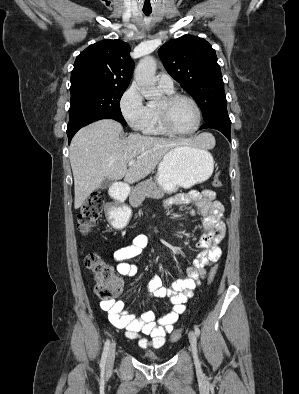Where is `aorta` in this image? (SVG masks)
<instances>
[{
  "mask_svg": "<svg viewBox=\"0 0 299 394\" xmlns=\"http://www.w3.org/2000/svg\"><path fill=\"white\" fill-rule=\"evenodd\" d=\"M156 61L153 57L147 56L140 60L135 69V80L142 95L147 100H155L160 94L156 89Z\"/></svg>",
  "mask_w": 299,
  "mask_h": 394,
  "instance_id": "762f6f07",
  "label": "aorta"
}]
</instances>
